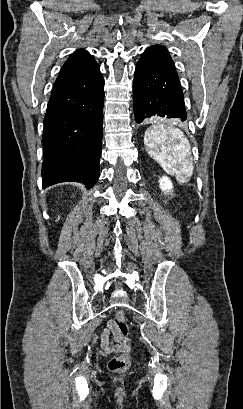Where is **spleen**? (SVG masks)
<instances>
[{"instance_id":"obj_1","label":"spleen","mask_w":243,"mask_h":409,"mask_svg":"<svg viewBox=\"0 0 243 409\" xmlns=\"http://www.w3.org/2000/svg\"><path fill=\"white\" fill-rule=\"evenodd\" d=\"M144 145L148 154L166 173L174 175L180 183L190 180L194 169L190 157L191 146L180 129L166 123H156L147 129Z\"/></svg>"}]
</instances>
